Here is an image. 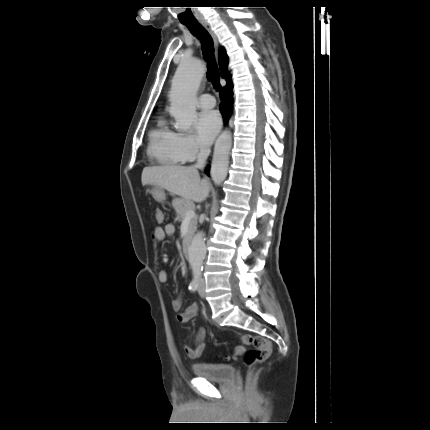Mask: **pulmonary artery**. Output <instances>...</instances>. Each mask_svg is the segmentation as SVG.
I'll return each instance as SVG.
<instances>
[{
	"instance_id": "pulmonary-artery-1",
	"label": "pulmonary artery",
	"mask_w": 430,
	"mask_h": 430,
	"mask_svg": "<svg viewBox=\"0 0 430 430\" xmlns=\"http://www.w3.org/2000/svg\"><path fill=\"white\" fill-rule=\"evenodd\" d=\"M198 104L203 109H211L216 105V101L211 94H202L199 97Z\"/></svg>"
}]
</instances>
